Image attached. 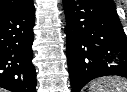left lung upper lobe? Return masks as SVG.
<instances>
[{
    "mask_svg": "<svg viewBox=\"0 0 127 92\" xmlns=\"http://www.w3.org/2000/svg\"><path fill=\"white\" fill-rule=\"evenodd\" d=\"M104 1L114 3L113 0H104Z\"/></svg>",
    "mask_w": 127,
    "mask_h": 92,
    "instance_id": "5c2ea615",
    "label": "left lung upper lobe"
}]
</instances>
